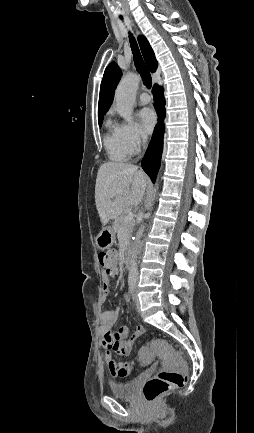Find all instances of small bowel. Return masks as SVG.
<instances>
[{"label": "small bowel", "mask_w": 254, "mask_h": 433, "mask_svg": "<svg viewBox=\"0 0 254 433\" xmlns=\"http://www.w3.org/2000/svg\"><path fill=\"white\" fill-rule=\"evenodd\" d=\"M109 292V280L106 278L103 282V293L107 296ZM125 298L122 301V305ZM122 305L115 310L107 311L101 316V333L103 334L102 345L105 350V363L110 375L114 378H123L131 374L134 364L127 361H117L113 353L121 357L130 355L133 344L140 337L137 328L130 336L127 327H121L114 331L113 327L117 323Z\"/></svg>", "instance_id": "c3829d8e"}]
</instances>
